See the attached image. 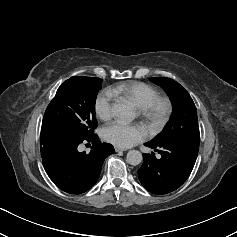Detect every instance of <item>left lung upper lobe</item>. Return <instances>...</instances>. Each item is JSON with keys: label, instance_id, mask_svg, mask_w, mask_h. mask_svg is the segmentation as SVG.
Instances as JSON below:
<instances>
[{"label": "left lung upper lobe", "instance_id": "left-lung-upper-lobe-1", "mask_svg": "<svg viewBox=\"0 0 237 237\" xmlns=\"http://www.w3.org/2000/svg\"><path fill=\"white\" fill-rule=\"evenodd\" d=\"M150 80L164 88L173 104L170 121L150 142L156 145L199 144L197 110L189 93L172 79L153 77Z\"/></svg>", "mask_w": 237, "mask_h": 237}]
</instances>
